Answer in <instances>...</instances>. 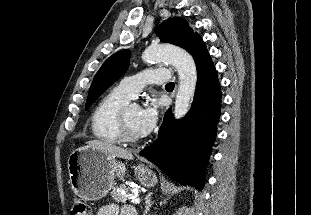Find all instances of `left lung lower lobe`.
<instances>
[{
  "label": "left lung lower lobe",
  "mask_w": 311,
  "mask_h": 215,
  "mask_svg": "<svg viewBox=\"0 0 311 215\" xmlns=\"http://www.w3.org/2000/svg\"><path fill=\"white\" fill-rule=\"evenodd\" d=\"M188 52L197 66V85L188 114L175 120L170 109L158 139L139 152L181 184L203 189L205 169L220 117L221 89L215 67L199 37Z\"/></svg>",
  "instance_id": "0a47b994"
}]
</instances>
